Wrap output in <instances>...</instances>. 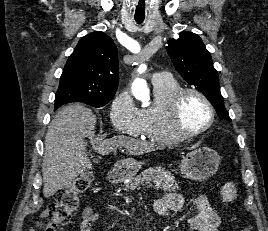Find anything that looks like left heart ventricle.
<instances>
[{
    "mask_svg": "<svg viewBox=\"0 0 268 231\" xmlns=\"http://www.w3.org/2000/svg\"><path fill=\"white\" fill-rule=\"evenodd\" d=\"M210 119V112L206 104L196 95L185 96L181 103L180 127L184 131H194L206 124Z\"/></svg>",
    "mask_w": 268,
    "mask_h": 231,
    "instance_id": "obj_1",
    "label": "left heart ventricle"
}]
</instances>
